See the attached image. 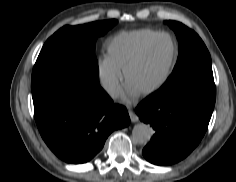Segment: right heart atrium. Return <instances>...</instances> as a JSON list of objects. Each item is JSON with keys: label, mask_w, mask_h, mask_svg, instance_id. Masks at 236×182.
Masks as SVG:
<instances>
[{"label": "right heart atrium", "mask_w": 236, "mask_h": 182, "mask_svg": "<svg viewBox=\"0 0 236 182\" xmlns=\"http://www.w3.org/2000/svg\"><path fill=\"white\" fill-rule=\"evenodd\" d=\"M123 75L119 68L104 59L100 63V81L111 94H116L121 87Z\"/></svg>", "instance_id": "d8ad5b80"}]
</instances>
